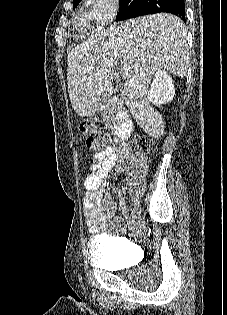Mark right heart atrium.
I'll list each match as a JSON object with an SVG mask.
<instances>
[{
    "instance_id": "right-heart-atrium-1",
    "label": "right heart atrium",
    "mask_w": 227,
    "mask_h": 315,
    "mask_svg": "<svg viewBox=\"0 0 227 315\" xmlns=\"http://www.w3.org/2000/svg\"><path fill=\"white\" fill-rule=\"evenodd\" d=\"M92 22L97 27L109 24L119 10V0H85Z\"/></svg>"
}]
</instances>
